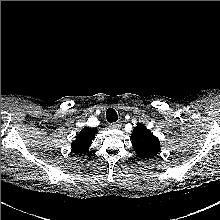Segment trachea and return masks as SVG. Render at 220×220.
Instances as JSON below:
<instances>
[{
	"instance_id": "3493384b",
	"label": "trachea",
	"mask_w": 220,
	"mask_h": 220,
	"mask_svg": "<svg viewBox=\"0 0 220 220\" xmlns=\"http://www.w3.org/2000/svg\"><path fill=\"white\" fill-rule=\"evenodd\" d=\"M106 118L108 122H116L118 120L117 112L113 108L107 109Z\"/></svg>"
}]
</instances>
